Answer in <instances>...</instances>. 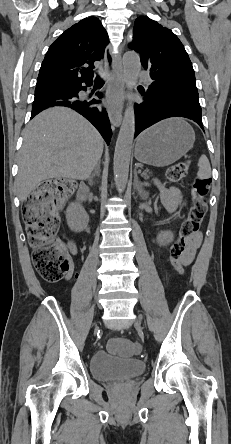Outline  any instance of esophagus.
<instances>
[{"mask_svg":"<svg viewBox=\"0 0 231 444\" xmlns=\"http://www.w3.org/2000/svg\"><path fill=\"white\" fill-rule=\"evenodd\" d=\"M105 63L108 68L112 69V73L109 79V88L106 93L107 98V113L110 122L113 126L119 127L122 122V101L115 104L112 101V97L115 94L123 95L124 92V74L122 64L119 57H114L112 54V47L109 45L105 51Z\"/></svg>","mask_w":231,"mask_h":444,"instance_id":"esophagus-1","label":"esophagus"}]
</instances>
